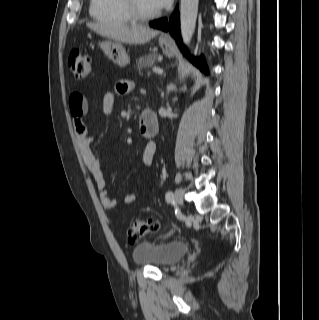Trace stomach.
Segmentation results:
<instances>
[{"label": "stomach", "mask_w": 319, "mask_h": 320, "mask_svg": "<svg viewBox=\"0 0 319 320\" xmlns=\"http://www.w3.org/2000/svg\"><path fill=\"white\" fill-rule=\"evenodd\" d=\"M159 45L164 55L167 57H172L174 55V46L170 39L160 37ZM99 46L104 54L120 67H125L130 63V57L120 41L105 40L99 43Z\"/></svg>", "instance_id": "0dacf381"}]
</instances>
